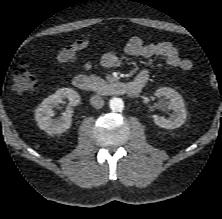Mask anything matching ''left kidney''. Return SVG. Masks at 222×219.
<instances>
[{"mask_svg":"<svg viewBox=\"0 0 222 219\" xmlns=\"http://www.w3.org/2000/svg\"><path fill=\"white\" fill-rule=\"evenodd\" d=\"M155 96L164 98L160 101L162 107L173 110L169 118L155 116V124L165 129H175L183 125L187 117V111L182 96L174 89L168 87L156 90Z\"/></svg>","mask_w":222,"mask_h":219,"instance_id":"5707ae66","label":"left kidney"}]
</instances>
